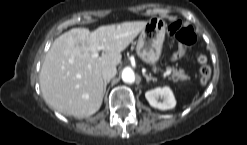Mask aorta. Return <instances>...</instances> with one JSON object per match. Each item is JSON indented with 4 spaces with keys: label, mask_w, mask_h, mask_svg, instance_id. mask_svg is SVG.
I'll list each match as a JSON object with an SVG mask.
<instances>
[{
    "label": "aorta",
    "mask_w": 247,
    "mask_h": 145,
    "mask_svg": "<svg viewBox=\"0 0 247 145\" xmlns=\"http://www.w3.org/2000/svg\"><path fill=\"white\" fill-rule=\"evenodd\" d=\"M122 80L125 83H133L135 81V74L131 68H124L122 71Z\"/></svg>",
    "instance_id": "1"
}]
</instances>
